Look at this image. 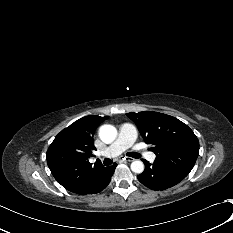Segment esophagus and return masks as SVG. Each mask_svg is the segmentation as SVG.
<instances>
[{"label":"esophagus","mask_w":233,"mask_h":233,"mask_svg":"<svg viewBox=\"0 0 233 233\" xmlns=\"http://www.w3.org/2000/svg\"><path fill=\"white\" fill-rule=\"evenodd\" d=\"M124 160L127 161V162H132V161H134V159L131 158V157H125Z\"/></svg>","instance_id":"esophagus-1"}]
</instances>
